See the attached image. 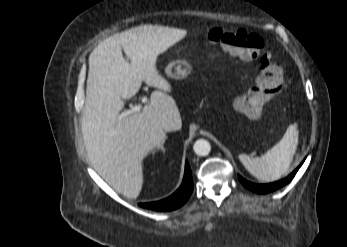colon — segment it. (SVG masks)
Listing matches in <instances>:
<instances>
[{
    "label": "colon",
    "mask_w": 347,
    "mask_h": 247,
    "mask_svg": "<svg viewBox=\"0 0 347 247\" xmlns=\"http://www.w3.org/2000/svg\"><path fill=\"white\" fill-rule=\"evenodd\" d=\"M207 39L229 54L256 63V85L245 88L244 95L237 99V108L247 115L257 116L265 97L278 93L284 86L282 69L272 61L270 53L265 50L263 39L244 29L221 28L211 29L207 33Z\"/></svg>",
    "instance_id": "obj_1"
}]
</instances>
